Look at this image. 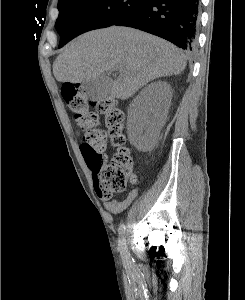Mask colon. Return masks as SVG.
Listing matches in <instances>:
<instances>
[{"instance_id": "colon-1", "label": "colon", "mask_w": 245, "mask_h": 300, "mask_svg": "<svg viewBox=\"0 0 245 300\" xmlns=\"http://www.w3.org/2000/svg\"><path fill=\"white\" fill-rule=\"evenodd\" d=\"M62 95L75 115V121L84 131L80 145L84 159L92 171L94 186L103 199L123 192L128 183L136 181L133 160L124 147V114L112 97L90 101L79 84H65ZM104 118L105 130L98 128V115ZM117 148L111 159L104 155L107 140Z\"/></svg>"}]
</instances>
